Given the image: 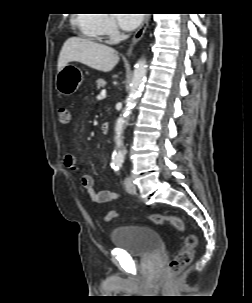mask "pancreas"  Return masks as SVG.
Masks as SVG:
<instances>
[{
	"instance_id": "pancreas-1",
	"label": "pancreas",
	"mask_w": 252,
	"mask_h": 303,
	"mask_svg": "<svg viewBox=\"0 0 252 303\" xmlns=\"http://www.w3.org/2000/svg\"><path fill=\"white\" fill-rule=\"evenodd\" d=\"M105 85H106V82H105L104 79L99 78V79L96 80L97 89L104 88Z\"/></svg>"
}]
</instances>
